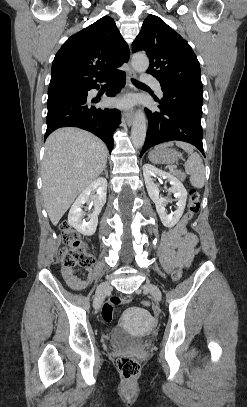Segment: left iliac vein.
<instances>
[{"label":"left iliac vein","mask_w":247,"mask_h":407,"mask_svg":"<svg viewBox=\"0 0 247 407\" xmlns=\"http://www.w3.org/2000/svg\"><path fill=\"white\" fill-rule=\"evenodd\" d=\"M143 290L145 292L150 293L155 300H157V301L161 300V291L156 285H154L152 283H146L143 286Z\"/></svg>","instance_id":"obj_1"}]
</instances>
